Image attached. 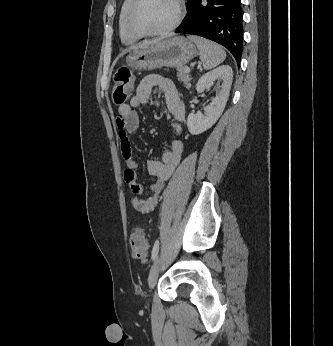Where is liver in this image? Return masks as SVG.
I'll list each match as a JSON object with an SVG mask.
<instances>
[{
  "label": "liver",
  "instance_id": "6515ba94",
  "mask_svg": "<svg viewBox=\"0 0 333 346\" xmlns=\"http://www.w3.org/2000/svg\"><path fill=\"white\" fill-rule=\"evenodd\" d=\"M161 40H162L161 38H158V39H154V40H151V41H144L143 43H140L138 45L133 46L131 49H137L139 47H143V46H146V45H149V44L157 43V42H159Z\"/></svg>",
  "mask_w": 333,
  "mask_h": 346
}]
</instances>
